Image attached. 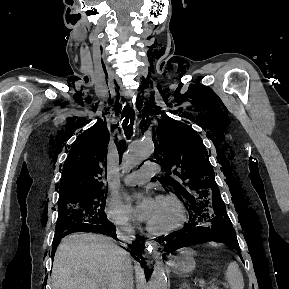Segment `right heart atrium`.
Returning a JSON list of instances; mask_svg holds the SVG:
<instances>
[{
	"mask_svg": "<svg viewBox=\"0 0 289 289\" xmlns=\"http://www.w3.org/2000/svg\"><path fill=\"white\" fill-rule=\"evenodd\" d=\"M106 213L108 219L119 229L131 230L133 228V218L126 207L116 196H111L107 201Z\"/></svg>",
	"mask_w": 289,
	"mask_h": 289,
	"instance_id": "d8ad5b80",
	"label": "right heart atrium"
}]
</instances>
